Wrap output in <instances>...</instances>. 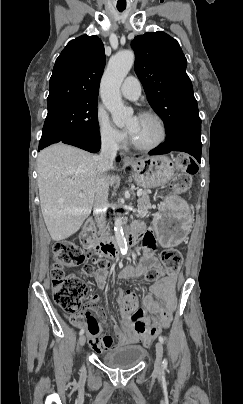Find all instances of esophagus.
<instances>
[{"instance_id": "34e87169", "label": "esophagus", "mask_w": 243, "mask_h": 404, "mask_svg": "<svg viewBox=\"0 0 243 404\" xmlns=\"http://www.w3.org/2000/svg\"><path fill=\"white\" fill-rule=\"evenodd\" d=\"M123 162H124V164H131V163H132V160H131V158H130V157H128V156H124V158H123Z\"/></svg>"}]
</instances>
